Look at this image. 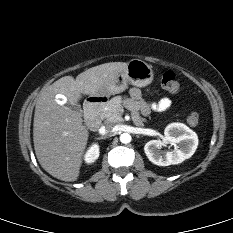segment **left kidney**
Masks as SVG:
<instances>
[{
    "label": "left kidney",
    "mask_w": 233,
    "mask_h": 233,
    "mask_svg": "<svg viewBox=\"0 0 233 233\" xmlns=\"http://www.w3.org/2000/svg\"><path fill=\"white\" fill-rule=\"evenodd\" d=\"M167 144L174 145V149L161 152ZM198 146V136L183 123H172L164 131L162 140H151L144 146L148 159L158 166L179 164L190 158Z\"/></svg>",
    "instance_id": "left-kidney-1"
}]
</instances>
